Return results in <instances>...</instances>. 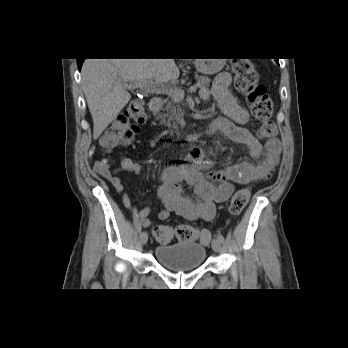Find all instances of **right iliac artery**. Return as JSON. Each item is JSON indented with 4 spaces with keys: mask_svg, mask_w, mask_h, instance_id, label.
<instances>
[{
    "mask_svg": "<svg viewBox=\"0 0 348 348\" xmlns=\"http://www.w3.org/2000/svg\"><path fill=\"white\" fill-rule=\"evenodd\" d=\"M133 218H134V222H135V226L138 232H141L142 227L141 224L139 223L140 218L138 217V213H133Z\"/></svg>",
    "mask_w": 348,
    "mask_h": 348,
    "instance_id": "right-iliac-artery-1",
    "label": "right iliac artery"
}]
</instances>
